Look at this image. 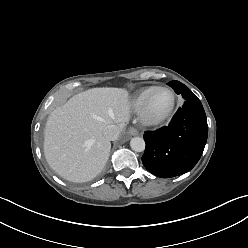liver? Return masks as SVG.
Wrapping results in <instances>:
<instances>
[{
  "label": "liver",
  "mask_w": 248,
  "mask_h": 248,
  "mask_svg": "<svg viewBox=\"0 0 248 248\" xmlns=\"http://www.w3.org/2000/svg\"><path fill=\"white\" fill-rule=\"evenodd\" d=\"M130 116L129 94L121 88H93L73 96L48 117L44 154L50 167L73 182L93 179L104 168L111 143L108 125L122 130Z\"/></svg>",
  "instance_id": "obj_1"
}]
</instances>
